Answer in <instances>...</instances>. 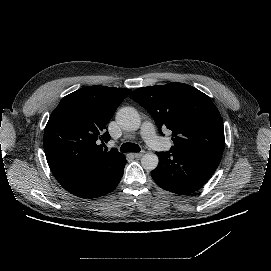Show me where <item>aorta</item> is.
I'll list each match as a JSON object with an SVG mask.
<instances>
[{"instance_id": "obj_1", "label": "aorta", "mask_w": 271, "mask_h": 271, "mask_svg": "<svg viewBox=\"0 0 271 271\" xmlns=\"http://www.w3.org/2000/svg\"><path fill=\"white\" fill-rule=\"evenodd\" d=\"M117 124L126 131H136L140 127L141 118L133 107H123L116 114ZM159 158L154 153H146L141 157V165L146 171L156 169Z\"/></svg>"}]
</instances>
